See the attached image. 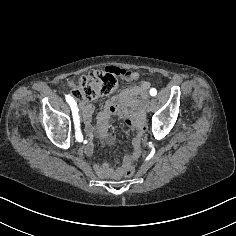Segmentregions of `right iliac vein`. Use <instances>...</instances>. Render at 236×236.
Returning <instances> with one entry per match:
<instances>
[{"instance_id":"1","label":"right iliac vein","mask_w":236,"mask_h":236,"mask_svg":"<svg viewBox=\"0 0 236 236\" xmlns=\"http://www.w3.org/2000/svg\"><path fill=\"white\" fill-rule=\"evenodd\" d=\"M79 116H80V121H83V115L81 113V110H78Z\"/></svg>"}]
</instances>
